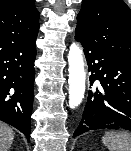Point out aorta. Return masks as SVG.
<instances>
[{"label": "aorta", "instance_id": "762f6f07", "mask_svg": "<svg viewBox=\"0 0 131 151\" xmlns=\"http://www.w3.org/2000/svg\"><path fill=\"white\" fill-rule=\"evenodd\" d=\"M82 50L77 43H72L68 53V71H69V107L74 109L78 107L85 94L86 73L84 68Z\"/></svg>", "mask_w": 131, "mask_h": 151}]
</instances>
